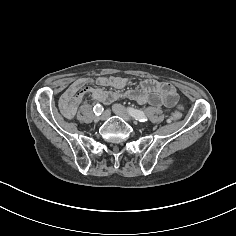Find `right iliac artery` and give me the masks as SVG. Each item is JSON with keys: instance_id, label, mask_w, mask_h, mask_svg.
I'll use <instances>...</instances> for the list:
<instances>
[{"instance_id": "right-iliac-artery-1", "label": "right iliac artery", "mask_w": 236, "mask_h": 236, "mask_svg": "<svg viewBox=\"0 0 236 236\" xmlns=\"http://www.w3.org/2000/svg\"><path fill=\"white\" fill-rule=\"evenodd\" d=\"M103 110L104 108L100 104H96L93 108V111L95 112L96 115H101Z\"/></svg>"}]
</instances>
